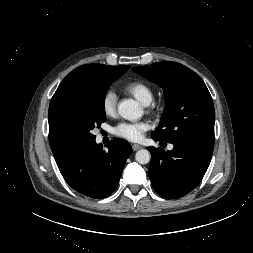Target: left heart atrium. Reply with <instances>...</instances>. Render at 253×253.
<instances>
[{"mask_svg":"<svg viewBox=\"0 0 253 253\" xmlns=\"http://www.w3.org/2000/svg\"><path fill=\"white\" fill-rule=\"evenodd\" d=\"M149 129L147 122L120 123L114 128V134L129 141H139Z\"/></svg>","mask_w":253,"mask_h":253,"instance_id":"39dd6f15","label":"left heart atrium"}]
</instances>
